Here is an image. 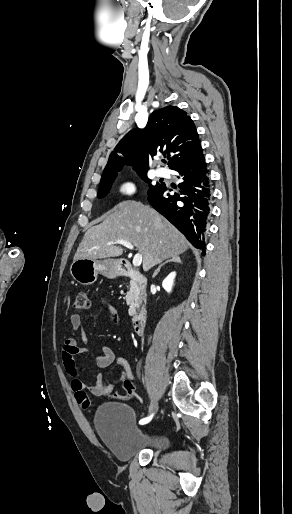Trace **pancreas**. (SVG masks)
Listing matches in <instances>:
<instances>
[{
    "mask_svg": "<svg viewBox=\"0 0 292 514\" xmlns=\"http://www.w3.org/2000/svg\"><path fill=\"white\" fill-rule=\"evenodd\" d=\"M139 300H140V296H139V288L137 286V284H133V286H131L129 292H127V296H126V302L129 306V316H135L136 314V308H138L139 306Z\"/></svg>",
    "mask_w": 292,
    "mask_h": 514,
    "instance_id": "1",
    "label": "pancreas"
}]
</instances>
